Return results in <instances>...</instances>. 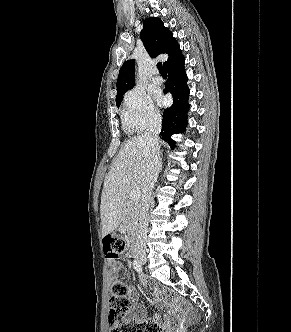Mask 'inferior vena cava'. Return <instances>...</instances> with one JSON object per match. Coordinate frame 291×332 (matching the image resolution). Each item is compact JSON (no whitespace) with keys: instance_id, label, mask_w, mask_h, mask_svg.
Returning a JSON list of instances; mask_svg holds the SVG:
<instances>
[{"instance_id":"1","label":"inferior vena cava","mask_w":291,"mask_h":332,"mask_svg":"<svg viewBox=\"0 0 291 332\" xmlns=\"http://www.w3.org/2000/svg\"><path fill=\"white\" fill-rule=\"evenodd\" d=\"M161 118L154 117L147 131L141 135V141L146 145L147 172L142 187V201L136 231V252L146 253V239L148 232L149 209L152 204V190L155 187L160 171L159 133Z\"/></svg>"}]
</instances>
